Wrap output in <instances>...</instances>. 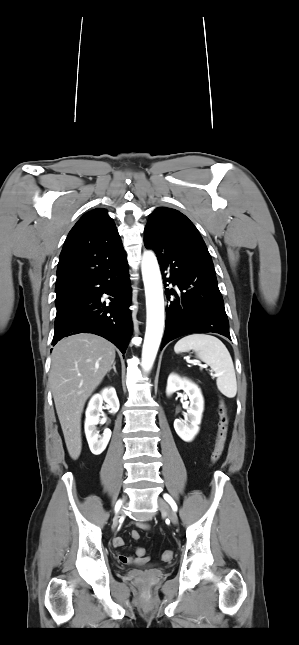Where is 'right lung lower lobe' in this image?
Returning <instances> with one entry per match:
<instances>
[{
	"label": "right lung lower lobe",
	"instance_id": "right-lung-lower-lobe-1",
	"mask_svg": "<svg viewBox=\"0 0 299 645\" xmlns=\"http://www.w3.org/2000/svg\"><path fill=\"white\" fill-rule=\"evenodd\" d=\"M111 295L105 306L102 294ZM131 287L126 257L74 287V293L57 308L52 345L69 335L93 333L115 344L125 354L131 336Z\"/></svg>",
	"mask_w": 299,
	"mask_h": 645
}]
</instances>
